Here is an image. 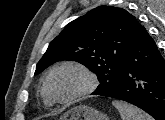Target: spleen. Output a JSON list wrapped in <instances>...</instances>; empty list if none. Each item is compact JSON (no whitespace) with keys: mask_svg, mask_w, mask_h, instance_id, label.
Wrapping results in <instances>:
<instances>
[{"mask_svg":"<svg viewBox=\"0 0 165 120\" xmlns=\"http://www.w3.org/2000/svg\"><path fill=\"white\" fill-rule=\"evenodd\" d=\"M112 105L119 111L122 120H153L150 115L126 102L114 100Z\"/></svg>","mask_w":165,"mask_h":120,"instance_id":"1","label":"spleen"}]
</instances>
